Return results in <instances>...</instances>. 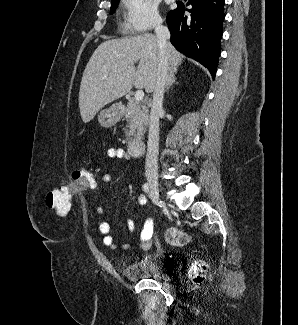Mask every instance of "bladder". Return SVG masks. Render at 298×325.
Instances as JSON below:
<instances>
[{
    "label": "bladder",
    "mask_w": 298,
    "mask_h": 325,
    "mask_svg": "<svg viewBox=\"0 0 298 325\" xmlns=\"http://www.w3.org/2000/svg\"><path fill=\"white\" fill-rule=\"evenodd\" d=\"M122 275L128 280H165L166 276L161 268L157 255H146L141 259L128 263L121 268Z\"/></svg>",
    "instance_id": "1"
}]
</instances>
